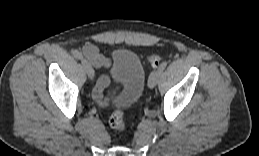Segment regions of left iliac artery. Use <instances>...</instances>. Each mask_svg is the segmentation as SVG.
I'll return each instance as SVG.
<instances>
[{"mask_svg":"<svg viewBox=\"0 0 259 156\" xmlns=\"http://www.w3.org/2000/svg\"><path fill=\"white\" fill-rule=\"evenodd\" d=\"M167 62L166 61H164V62H162L161 64H160V66H159V68H158V73H159V75H157V77H156V79H155V84H158V80H159V78H160V74L162 73V71L166 68V66H167Z\"/></svg>","mask_w":259,"mask_h":156,"instance_id":"obj_1","label":"left iliac artery"}]
</instances>
